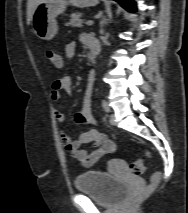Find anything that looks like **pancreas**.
Wrapping results in <instances>:
<instances>
[{"instance_id":"obj_1","label":"pancreas","mask_w":188,"mask_h":213,"mask_svg":"<svg viewBox=\"0 0 188 213\" xmlns=\"http://www.w3.org/2000/svg\"><path fill=\"white\" fill-rule=\"evenodd\" d=\"M82 14L80 12H75L70 15V20L68 23H66V26H71V27H81L82 26V19H81Z\"/></svg>"}]
</instances>
